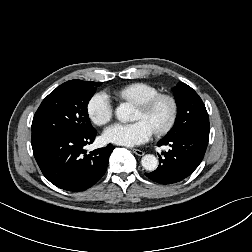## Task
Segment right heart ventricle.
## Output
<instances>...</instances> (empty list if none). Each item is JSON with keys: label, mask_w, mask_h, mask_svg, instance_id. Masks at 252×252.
<instances>
[{"label": "right heart ventricle", "mask_w": 252, "mask_h": 252, "mask_svg": "<svg viewBox=\"0 0 252 252\" xmlns=\"http://www.w3.org/2000/svg\"><path fill=\"white\" fill-rule=\"evenodd\" d=\"M116 94L124 100L140 105L159 94V90L150 84L138 82L120 88Z\"/></svg>", "instance_id": "e07e8e85"}]
</instances>
